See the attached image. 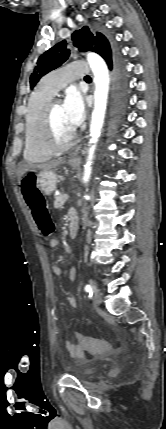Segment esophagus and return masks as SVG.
<instances>
[{"mask_svg": "<svg viewBox=\"0 0 166 429\" xmlns=\"http://www.w3.org/2000/svg\"><path fill=\"white\" fill-rule=\"evenodd\" d=\"M72 158H77V154L75 153V154H73L72 155Z\"/></svg>", "mask_w": 166, "mask_h": 429, "instance_id": "esophagus-1", "label": "esophagus"}]
</instances>
